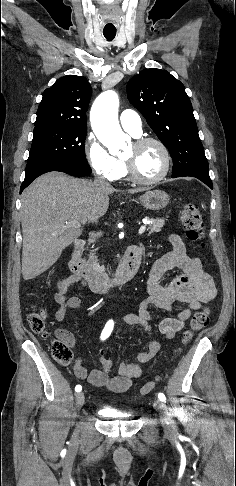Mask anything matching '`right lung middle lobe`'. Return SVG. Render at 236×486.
<instances>
[{
	"mask_svg": "<svg viewBox=\"0 0 236 486\" xmlns=\"http://www.w3.org/2000/svg\"><path fill=\"white\" fill-rule=\"evenodd\" d=\"M86 129L34 128L28 162L42 159L88 164L85 157Z\"/></svg>",
	"mask_w": 236,
	"mask_h": 486,
	"instance_id": "right-lung-middle-lobe-1",
	"label": "right lung middle lobe"
}]
</instances>
